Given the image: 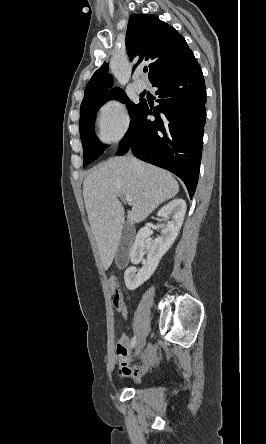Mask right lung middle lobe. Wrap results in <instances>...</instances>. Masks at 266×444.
Returning a JSON list of instances; mask_svg holds the SVG:
<instances>
[{"label": "right lung middle lobe", "instance_id": "obj_1", "mask_svg": "<svg viewBox=\"0 0 266 444\" xmlns=\"http://www.w3.org/2000/svg\"><path fill=\"white\" fill-rule=\"evenodd\" d=\"M111 98H117L123 103L129 100L124 91L120 89L82 103L80 106L79 129L83 144V167L96 160L105 150L104 146L97 140L95 135L94 121L98 109ZM142 104V101L138 104H134L133 102L127 103V108L132 120L140 111Z\"/></svg>", "mask_w": 266, "mask_h": 444}]
</instances>
